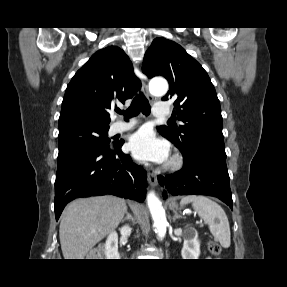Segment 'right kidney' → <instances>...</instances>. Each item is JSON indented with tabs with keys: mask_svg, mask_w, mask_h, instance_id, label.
I'll return each instance as SVG.
<instances>
[{
	"mask_svg": "<svg viewBox=\"0 0 287 287\" xmlns=\"http://www.w3.org/2000/svg\"><path fill=\"white\" fill-rule=\"evenodd\" d=\"M122 236H128L131 233V228L129 226H123L120 229ZM105 256L107 259H119L118 253V235L117 233L111 232L105 243Z\"/></svg>",
	"mask_w": 287,
	"mask_h": 287,
	"instance_id": "right-kidney-1",
	"label": "right kidney"
}]
</instances>
